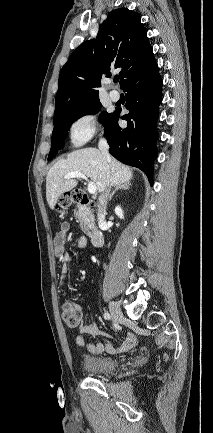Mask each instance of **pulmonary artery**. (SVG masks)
<instances>
[{
  "instance_id": "1",
  "label": "pulmonary artery",
  "mask_w": 213,
  "mask_h": 433,
  "mask_svg": "<svg viewBox=\"0 0 213 433\" xmlns=\"http://www.w3.org/2000/svg\"><path fill=\"white\" fill-rule=\"evenodd\" d=\"M109 97L112 101H118L120 98V94L117 90H111L109 92Z\"/></svg>"
}]
</instances>
